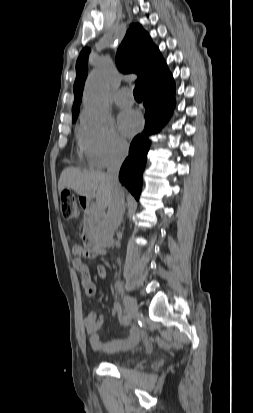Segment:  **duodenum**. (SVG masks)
Returning <instances> with one entry per match:
<instances>
[{
  "mask_svg": "<svg viewBox=\"0 0 253 413\" xmlns=\"http://www.w3.org/2000/svg\"><path fill=\"white\" fill-rule=\"evenodd\" d=\"M81 205L84 212L90 213L92 205L89 200L83 199ZM82 238L86 243L87 251L91 256L94 257L105 254V249L101 244L100 237L94 225H89L83 230Z\"/></svg>",
  "mask_w": 253,
  "mask_h": 413,
  "instance_id": "1",
  "label": "duodenum"
}]
</instances>
